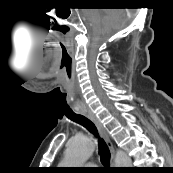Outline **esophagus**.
<instances>
[{
  "instance_id": "esophagus-1",
  "label": "esophagus",
  "mask_w": 173,
  "mask_h": 173,
  "mask_svg": "<svg viewBox=\"0 0 173 173\" xmlns=\"http://www.w3.org/2000/svg\"><path fill=\"white\" fill-rule=\"evenodd\" d=\"M81 111L86 117H88L96 125L100 135L105 140V142H106V144L110 150L111 165L113 166L114 165V159H115V151H114L113 143L111 142V139H110L106 129L104 128L102 123L97 119V117L88 108L85 107Z\"/></svg>"
}]
</instances>
